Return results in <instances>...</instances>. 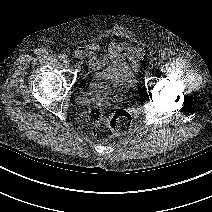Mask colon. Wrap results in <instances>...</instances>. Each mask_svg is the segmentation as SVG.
Listing matches in <instances>:
<instances>
[{
	"mask_svg": "<svg viewBox=\"0 0 212 212\" xmlns=\"http://www.w3.org/2000/svg\"><path fill=\"white\" fill-rule=\"evenodd\" d=\"M89 118L93 124L91 134L97 140H107L129 130L131 115L124 110L111 108H94L89 110Z\"/></svg>",
	"mask_w": 212,
	"mask_h": 212,
	"instance_id": "obj_1",
	"label": "colon"
}]
</instances>
